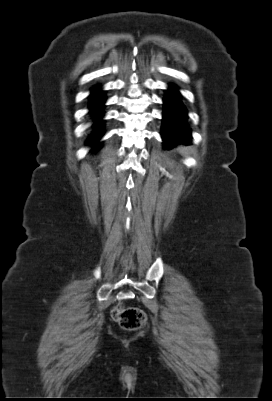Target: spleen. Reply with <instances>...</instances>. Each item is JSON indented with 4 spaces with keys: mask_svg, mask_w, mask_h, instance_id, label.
I'll use <instances>...</instances> for the list:
<instances>
[{
    "mask_svg": "<svg viewBox=\"0 0 272 401\" xmlns=\"http://www.w3.org/2000/svg\"><path fill=\"white\" fill-rule=\"evenodd\" d=\"M181 152L185 153V149H181Z\"/></svg>",
    "mask_w": 272,
    "mask_h": 401,
    "instance_id": "1",
    "label": "spleen"
}]
</instances>
